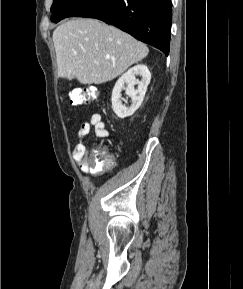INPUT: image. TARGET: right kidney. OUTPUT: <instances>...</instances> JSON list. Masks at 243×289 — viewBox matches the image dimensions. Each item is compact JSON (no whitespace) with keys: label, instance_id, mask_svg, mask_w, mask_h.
Instances as JSON below:
<instances>
[{"label":"right kidney","instance_id":"1","mask_svg":"<svg viewBox=\"0 0 243 289\" xmlns=\"http://www.w3.org/2000/svg\"><path fill=\"white\" fill-rule=\"evenodd\" d=\"M137 75L142 77L141 80L136 79ZM150 80L151 73L144 64H138L130 68L118 79L112 91L111 102L112 109L119 118L123 119L133 115L141 106ZM135 85H138L137 89H134ZM123 89L132 100L129 107L122 104L121 92Z\"/></svg>","mask_w":243,"mask_h":289}]
</instances>
